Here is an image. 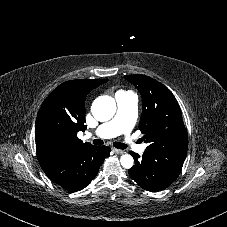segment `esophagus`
I'll return each mask as SVG.
<instances>
[{"label":"esophagus","mask_w":227,"mask_h":227,"mask_svg":"<svg viewBox=\"0 0 227 227\" xmlns=\"http://www.w3.org/2000/svg\"><path fill=\"white\" fill-rule=\"evenodd\" d=\"M112 151L115 153V154H124L125 151L121 150V149H118V148H115L113 147L112 148Z\"/></svg>","instance_id":"34e87169"}]
</instances>
